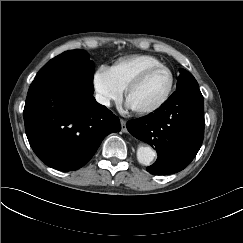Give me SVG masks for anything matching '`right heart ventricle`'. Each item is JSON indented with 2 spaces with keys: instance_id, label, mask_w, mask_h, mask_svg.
<instances>
[{
  "instance_id": "e07e8e85",
  "label": "right heart ventricle",
  "mask_w": 243,
  "mask_h": 243,
  "mask_svg": "<svg viewBox=\"0 0 243 243\" xmlns=\"http://www.w3.org/2000/svg\"><path fill=\"white\" fill-rule=\"evenodd\" d=\"M158 64L161 62L155 57L134 55L117 60L109 70L116 85L125 90L130 81L142 70Z\"/></svg>"
}]
</instances>
